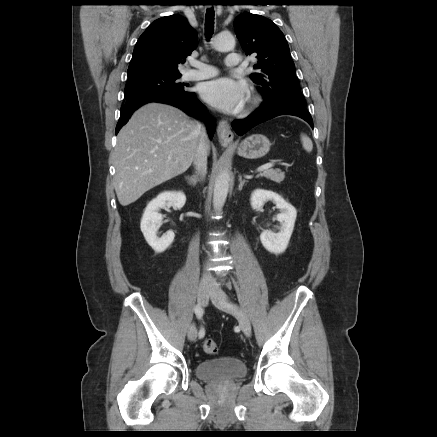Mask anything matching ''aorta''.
Listing matches in <instances>:
<instances>
[{
    "instance_id": "obj_1",
    "label": "aorta",
    "mask_w": 437,
    "mask_h": 437,
    "mask_svg": "<svg viewBox=\"0 0 437 437\" xmlns=\"http://www.w3.org/2000/svg\"><path fill=\"white\" fill-rule=\"evenodd\" d=\"M213 46L217 51H230L235 47V38L230 32H222L215 36ZM230 175L227 170L221 171L215 180L213 192V207L220 211L226 201L229 190Z\"/></svg>"
}]
</instances>
